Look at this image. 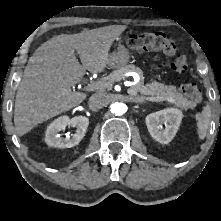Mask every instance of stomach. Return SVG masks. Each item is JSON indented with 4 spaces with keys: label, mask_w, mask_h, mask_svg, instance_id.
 I'll return each instance as SVG.
<instances>
[{
    "label": "stomach",
    "mask_w": 221,
    "mask_h": 221,
    "mask_svg": "<svg viewBox=\"0 0 221 221\" xmlns=\"http://www.w3.org/2000/svg\"><path fill=\"white\" fill-rule=\"evenodd\" d=\"M130 60V55L128 49L124 44L119 41L117 44V49L112 54L109 55L108 65L111 68H121L124 67Z\"/></svg>",
    "instance_id": "obj_1"
}]
</instances>
